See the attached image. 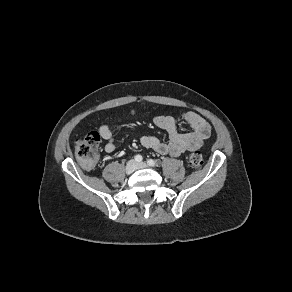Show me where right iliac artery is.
<instances>
[{
    "label": "right iliac artery",
    "mask_w": 292,
    "mask_h": 292,
    "mask_svg": "<svg viewBox=\"0 0 292 292\" xmlns=\"http://www.w3.org/2000/svg\"><path fill=\"white\" fill-rule=\"evenodd\" d=\"M134 159H135L136 162H141L143 160L142 156L139 155V154L136 155Z\"/></svg>",
    "instance_id": "1"
}]
</instances>
